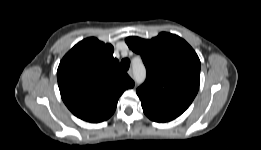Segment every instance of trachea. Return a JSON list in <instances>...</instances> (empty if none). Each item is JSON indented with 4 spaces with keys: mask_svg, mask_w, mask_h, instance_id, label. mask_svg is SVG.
Segmentation results:
<instances>
[{
    "mask_svg": "<svg viewBox=\"0 0 261 150\" xmlns=\"http://www.w3.org/2000/svg\"><path fill=\"white\" fill-rule=\"evenodd\" d=\"M121 67L124 69V70H128L129 67H130V60L125 58V59H122L121 61Z\"/></svg>",
    "mask_w": 261,
    "mask_h": 150,
    "instance_id": "1",
    "label": "trachea"
}]
</instances>
